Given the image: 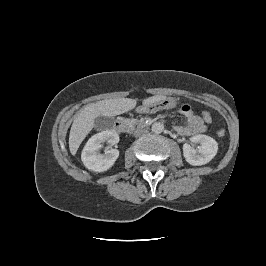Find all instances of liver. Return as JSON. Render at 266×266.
Returning a JSON list of instances; mask_svg holds the SVG:
<instances>
[{"label":"liver","instance_id":"liver-1","mask_svg":"<svg viewBox=\"0 0 266 266\" xmlns=\"http://www.w3.org/2000/svg\"><path fill=\"white\" fill-rule=\"evenodd\" d=\"M165 99V96H152L143 100V104H151ZM137 102L129 98H116L98 101L85 106L75 117L69 135V149L75 155L80 144L94 127L100 115L113 117L135 108Z\"/></svg>","mask_w":266,"mask_h":266}]
</instances>
